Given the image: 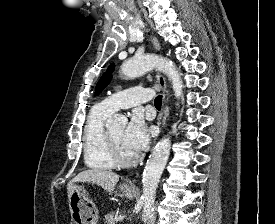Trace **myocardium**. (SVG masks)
Listing matches in <instances>:
<instances>
[{"mask_svg":"<svg viewBox=\"0 0 275 224\" xmlns=\"http://www.w3.org/2000/svg\"><path fill=\"white\" fill-rule=\"evenodd\" d=\"M104 140H105V145H106L107 151L109 153L110 159L115 166L130 167L137 163L139 157L136 155H134L130 158H125V157L121 156L115 143L113 142V140L111 138L109 130L105 131Z\"/></svg>","mask_w":275,"mask_h":224,"instance_id":"obj_1","label":"myocardium"}]
</instances>
